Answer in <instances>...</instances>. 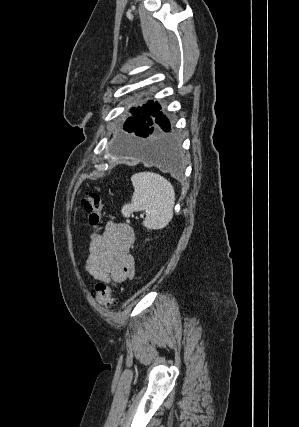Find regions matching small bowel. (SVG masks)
<instances>
[{"mask_svg": "<svg viewBox=\"0 0 299 427\" xmlns=\"http://www.w3.org/2000/svg\"><path fill=\"white\" fill-rule=\"evenodd\" d=\"M135 242L133 228L123 222L109 221L101 234H91L86 271L97 281L117 286L135 274L130 250Z\"/></svg>", "mask_w": 299, "mask_h": 427, "instance_id": "1", "label": "small bowel"}]
</instances>
